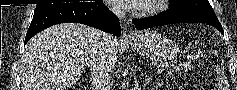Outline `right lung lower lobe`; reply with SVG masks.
<instances>
[{
  "instance_id": "obj_1",
  "label": "right lung lower lobe",
  "mask_w": 237,
  "mask_h": 90,
  "mask_svg": "<svg viewBox=\"0 0 237 90\" xmlns=\"http://www.w3.org/2000/svg\"><path fill=\"white\" fill-rule=\"evenodd\" d=\"M65 22L82 23L116 36L121 34L117 16L102 1L70 3L35 11L24 44L45 28Z\"/></svg>"
}]
</instances>
